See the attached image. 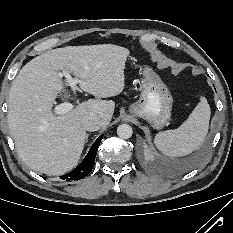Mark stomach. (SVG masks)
<instances>
[{
    "mask_svg": "<svg viewBox=\"0 0 233 233\" xmlns=\"http://www.w3.org/2000/svg\"><path fill=\"white\" fill-rule=\"evenodd\" d=\"M141 95L129 108L131 114L144 118L156 129L162 128L171 117L173 98L157 72L149 65L140 67Z\"/></svg>",
    "mask_w": 233,
    "mask_h": 233,
    "instance_id": "0dacf381",
    "label": "stomach"
}]
</instances>
